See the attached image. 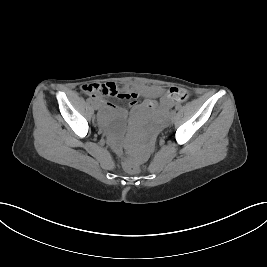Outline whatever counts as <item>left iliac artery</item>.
I'll return each mask as SVG.
<instances>
[{"label": "left iliac artery", "mask_w": 267, "mask_h": 267, "mask_svg": "<svg viewBox=\"0 0 267 267\" xmlns=\"http://www.w3.org/2000/svg\"><path fill=\"white\" fill-rule=\"evenodd\" d=\"M171 116H174L175 115V111L172 110L171 113H170Z\"/></svg>", "instance_id": "obj_1"}]
</instances>
